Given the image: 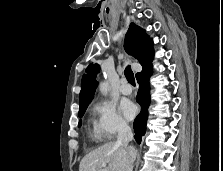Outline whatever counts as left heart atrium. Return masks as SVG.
<instances>
[{
    "mask_svg": "<svg viewBox=\"0 0 223 171\" xmlns=\"http://www.w3.org/2000/svg\"><path fill=\"white\" fill-rule=\"evenodd\" d=\"M120 110L122 114L129 120L132 119L136 114V107L130 101H123L120 105Z\"/></svg>",
    "mask_w": 223,
    "mask_h": 171,
    "instance_id": "left-heart-atrium-1",
    "label": "left heart atrium"
}]
</instances>
